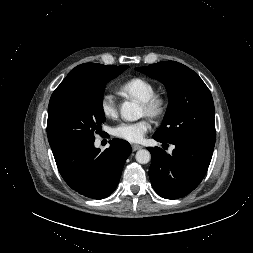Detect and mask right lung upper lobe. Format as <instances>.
Segmentation results:
<instances>
[{
  "mask_svg": "<svg viewBox=\"0 0 253 253\" xmlns=\"http://www.w3.org/2000/svg\"><path fill=\"white\" fill-rule=\"evenodd\" d=\"M115 65H102L98 63H84L72 69L60 85L87 80L102 70H108Z\"/></svg>",
  "mask_w": 253,
  "mask_h": 253,
  "instance_id": "1",
  "label": "right lung upper lobe"
}]
</instances>
